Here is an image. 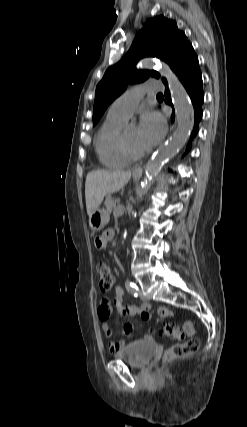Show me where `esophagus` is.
Masks as SVG:
<instances>
[{
  "mask_svg": "<svg viewBox=\"0 0 247 427\" xmlns=\"http://www.w3.org/2000/svg\"><path fill=\"white\" fill-rule=\"evenodd\" d=\"M142 172H143V169H142L141 167H136V168L134 169V173H135V174H142Z\"/></svg>",
  "mask_w": 247,
  "mask_h": 427,
  "instance_id": "obj_1",
  "label": "esophagus"
}]
</instances>
